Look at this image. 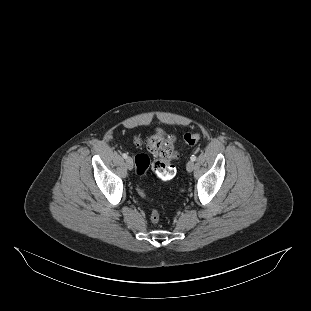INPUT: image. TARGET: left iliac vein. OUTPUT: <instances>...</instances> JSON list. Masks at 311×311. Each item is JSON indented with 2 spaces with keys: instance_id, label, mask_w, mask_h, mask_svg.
<instances>
[{
  "instance_id": "left-iliac-vein-1",
  "label": "left iliac vein",
  "mask_w": 311,
  "mask_h": 311,
  "mask_svg": "<svg viewBox=\"0 0 311 311\" xmlns=\"http://www.w3.org/2000/svg\"><path fill=\"white\" fill-rule=\"evenodd\" d=\"M186 169H187L188 172L193 171V169H194V162L193 161H189L187 163V165H186Z\"/></svg>"
}]
</instances>
